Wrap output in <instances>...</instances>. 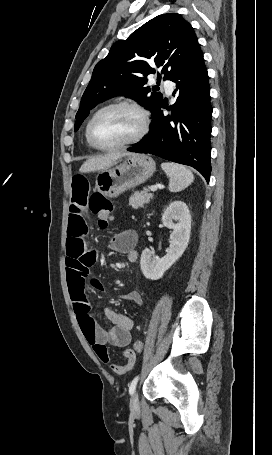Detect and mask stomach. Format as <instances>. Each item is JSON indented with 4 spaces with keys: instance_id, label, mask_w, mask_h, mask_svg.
<instances>
[{
    "instance_id": "obj_1",
    "label": "stomach",
    "mask_w": 272,
    "mask_h": 455,
    "mask_svg": "<svg viewBox=\"0 0 272 455\" xmlns=\"http://www.w3.org/2000/svg\"><path fill=\"white\" fill-rule=\"evenodd\" d=\"M155 171L156 164L150 156L133 154L121 164L100 171L96 176L95 189L105 197L116 198L144 183Z\"/></svg>"
}]
</instances>
